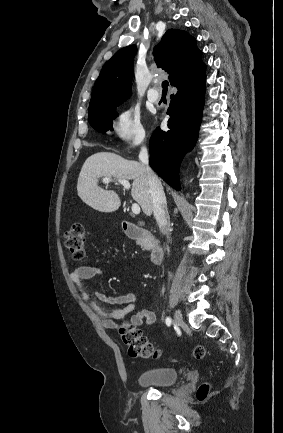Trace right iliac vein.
<instances>
[{
	"instance_id": "1",
	"label": "right iliac vein",
	"mask_w": 283,
	"mask_h": 433,
	"mask_svg": "<svg viewBox=\"0 0 283 433\" xmlns=\"http://www.w3.org/2000/svg\"><path fill=\"white\" fill-rule=\"evenodd\" d=\"M174 321H175V324L177 326H181L182 324H184V320H183V317H182V314H181L180 310H176L175 311V313H174Z\"/></svg>"
}]
</instances>
